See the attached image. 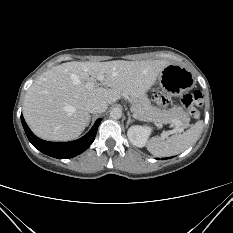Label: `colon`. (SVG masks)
Returning <instances> with one entry per match:
<instances>
[{
    "label": "colon",
    "mask_w": 233,
    "mask_h": 233,
    "mask_svg": "<svg viewBox=\"0 0 233 233\" xmlns=\"http://www.w3.org/2000/svg\"><path fill=\"white\" fill-rule=\"evenodd\" d=\"M155 101L160 106H166L169 102L168 98L163 95H157ZM203 102V95L200 91H191L186 93L182 98L183 105L188 109L191 117L193 119L199 118V111L197 107L200 106Z\"/></svg>",
    "instance_id": "colon-1"
}]
</instances>
